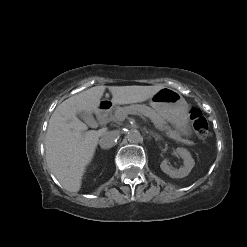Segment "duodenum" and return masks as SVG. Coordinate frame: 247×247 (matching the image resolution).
<instances>
[{"label":"duodenum","mask_w":247,"mask_h":247,"mask_svg":"<svg viewBox=\"0 0 247 247\" xmlns=\"http://www.w3.org/2000/svg\"><path fill=\"white\" fill-rule=\"evenodd\" d=\"M109 109H110V105L107 104V103H104V104H101L97 110H96V117L97 119L99 120L100 123H104L106 118H107V115H108V112H109Z\"/></svg>","instance_id":"obj_1"}]
</instances>
